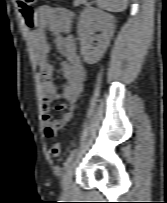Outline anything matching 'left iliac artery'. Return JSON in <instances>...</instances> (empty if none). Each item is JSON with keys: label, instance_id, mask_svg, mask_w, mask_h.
Returning <instances> with one entry per match:
<instances>
[{"label": "left iliac artery", "instance_id": "left-iliac-artery-1", "mask_svg": "<svg viewBox=\"0 0 167 203\" xmlns=\"http://www.w3.org/2000/svg\"><path fill=\"white\" fill-rule=\"evenodd\" d=\"M76 151H77V149H74L70 152L69 156L67 157L66 161L64 162L65 168H67L69 166V164L73 161Z\"/></svg>", "mask_w": 167, "mask_h": 203}]
</instances>
